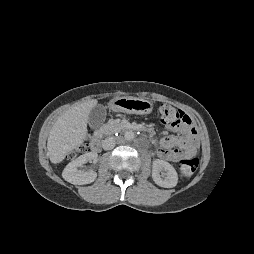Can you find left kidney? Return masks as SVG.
Wrapping results in <instances>:
<instances>
[{
    "mask_svg": "<svg viewBox=\"0 0 254 254\" xmlns=\"http://www.w3.org/2000/svg\"><path fill=\"white\" fill-rule=\"evenodd\" d=\"M152 178L157 185L164 188L175 187L178 183V175L174 167L160 159L153 161Z\"/></svg>",
    "mask_w": 254,
    "mask_h": 254,
    "instance_id": "1",
    "label": "left kidney"
}]
</instances>
